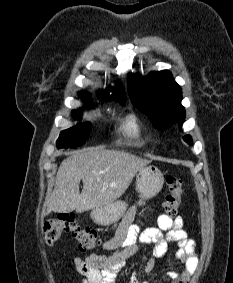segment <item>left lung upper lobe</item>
I'll return each instance as SVG.
<instances>
[{
	"label": "left lung upper lobe",
	"instance_id": "left-lung-upper-lobe-1",
	"mask_svg": "<svg viewBox=\"0 0 233 283\" xmlns=\"http://www.w3.org/2000/svg\"><path fill=\"white\" fill-rule=\"evenodd\" d=\"M128 90L135 106L149 117L158 129L173 124L182 126L185 110L181 105L182 90L168 70L151 72L146 77L128 75ZM192 144L191 136L183 137Z\"/></svg>",
	"mask_w": 233,
	"mask_h": 283
}]
</instances>
